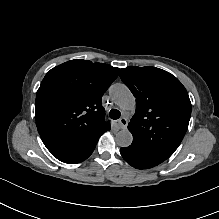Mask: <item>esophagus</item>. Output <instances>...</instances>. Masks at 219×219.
I'll use <instances>...</instances> for the list:
<instances>
[{
  "label": "esophagus",
  "instance_id": "obj_1",
  "mask_svg": "<svg viewBox=\"0 0 219 219\" xmlns=\"http://www.w3.org/2000/svg\"><path fill=\"white\" fill-rule=\"evenodd\" d=\"M118 125L121 129H125L128 125V121L126 118L122 117L121 119H119L118 121Z\"/></svg>",
  "mask_w": 219,
  "mask_h": 219
}]
</instances>
